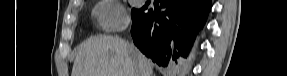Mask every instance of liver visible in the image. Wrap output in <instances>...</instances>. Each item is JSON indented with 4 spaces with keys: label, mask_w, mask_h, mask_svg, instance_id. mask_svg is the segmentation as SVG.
I'll return each instance as SVG.
<instances>
[{
    "label": "liver",
    "mask_w": 287,
    "mask_h": 76,
    "mask_svg": "<svg viewBox=\"0 0 287 76\" xmlns=\"http://www.w3.org/2000/svg\"><path fill=\"white\" fill-rule=\"evenodd\" d=\"M71 76H153V65L125 40L100 35L78 47Z\"/></svg>",
    "instance_id": "liver-1"
}]
</instances>
